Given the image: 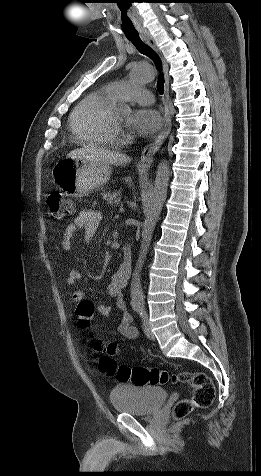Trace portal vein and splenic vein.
Returning <instances> with one entry per match:
<instances>
[{
	"label": "portal vein and splenic vein",
	"mask_w": 261,
	"mask_h": 476,
	"mask_svg": "<svg viewBox=\"0 0 261 476\" xmlns=\"http://www.w3.org/2000/svg\"><path fill=\"white\" fill-rule=\"evenodd\" d=\"M119 211H120V212H124V208L121 207V208L119 209Z\"/></svg>",
	"instance_id": "portal-vein-and-splenic-vein-1"
}]
</instances>
